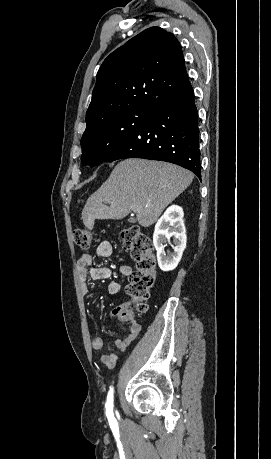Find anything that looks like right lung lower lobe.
<instances>
[{"mask_svg": "<svg viewBox=\"0 0 271 459\" xmlns=\"http://www.w3.org/2000/svg\"><path fill=\"white\" fill-rule=\"evenodd\" d=\"M198 111L192 86L164 100L107 159L161 160L180 165L201 180Z\"/></svg>", "mask_w": 271, "mask_h": 459, "instance_id": "98d812e1", "label": "right lung lower lobe"}]
</instances>
